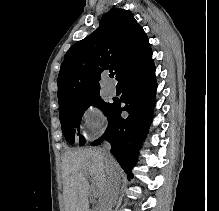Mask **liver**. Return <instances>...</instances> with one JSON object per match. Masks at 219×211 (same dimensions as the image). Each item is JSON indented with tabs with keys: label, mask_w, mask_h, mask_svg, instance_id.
Listing matches in <instances>:
<instances>
[{
	"label": "liver",
	"mask_w": 219,
	"mask_h": 211,
	"mask_svg": "<svg viewBox=\"0 0 219 211\" xmlns=\"http://www.w3.org/2000/svg\"><path fill=\"white\" fill-rule=\"evenodd\" d=\"M63 197L65 211H95L89 209V197L91 191L95 197H99L96 209L105 211L115 201V193L119 191V185L115 181L119 177L121 167L112 157V167H107L104 161L103 149H77L66 151L62 161ZM85 175H92L96 189H91Z\"/></svg>",
	"instance_id": "6515ba94"
}]
</instances>
